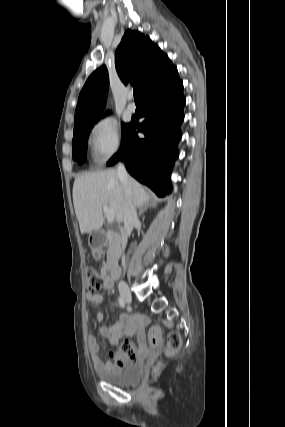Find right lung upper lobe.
I'll return each mask as SVG.
<instances>
[{"instance_id":"1","label":"right lung upper lobe","mask_w":285,"mask_h":427,"mask_svg":"<svg viewBox=\"0 0 285 427\" xmlns=\"http://www.w3.org/2000/svg\"><path fill=\"white\" fill-rule=\"evenodd\" d=\"M115 66L124 84L131 82L139 94L155 79L168 72L173 64L148 36L127 30L117 47ZM109 86L106 66L94 71L87 79L78 98L74 129L96 121L105 106Z\"/></svg>"}]
</instances>
